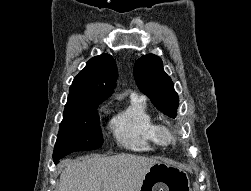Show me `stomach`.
<instances>
[{"label":"stomach","instance_id":"stomach-1","mask_svg":"<svg viewBox=\"0 0 251 191\" xmlns=\"http://www.w3.org/2000/svg\"><path fill=\"white\" fill-rule=\"evenodd\" d=\"M139 191H190V181L180 167L158 161L146 173Z\"/></svg>","mask_w":251,"mask_h":191}]
</instances>
